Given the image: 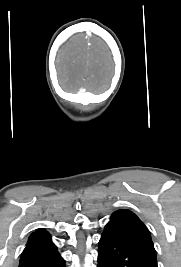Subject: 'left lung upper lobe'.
Masks as SVG:
<instances>
[{
    "label": "left lung upper lobe",
    "mask_w": 181,
    "mask_h": 267,
    "mask_svg": "<svg viewBox=\"0 0 181 267\" xmlns=\"http://www.w3.org/2000/svg\"><path fill=\"white\" fill-rule=\"evenodd\" d=\"M107 225H117L125 228L153 244L147 227L135 214L128 210H118L114 212Z\"/></svg>",
    "instance_id": "1"
}]
</instances>
